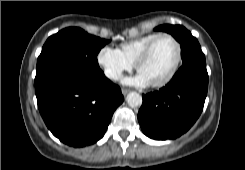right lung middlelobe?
I'll return each mask as SVG.
<instances>
[{"label":"right lung middle lobe","mask_w":245,"mask_h":170,"mask_svg":"<svg viewBox=\"0 0 245 170\" xmlns=\"http://www.w3.org/2000/svg\"><path fill=\"white\" fill-rule=\"evenodd\" d=\"M108 42L77 27L50 36L37 60L35 84L64 69H99L97 54Z\"/></svg>","instance_id":"obj_1"}]
</instances>
